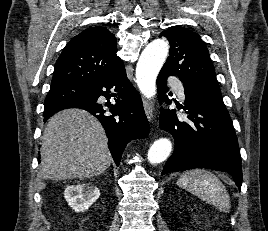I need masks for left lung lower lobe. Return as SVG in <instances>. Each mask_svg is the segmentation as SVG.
Wrapping results in <instances>:
<instances>
[{"mask_svg": "<svg viewBox=\"0 0 268 231\" xmlns=\"http://www.w3.org/2000/svg\"><path fill=\"white\" fill-rule=\"evenodd\" d=\"M169 74L160 71L157 77L158 97L164 95ZM188 121L177 118L175 110H162L160 128L169 131L175 140V150L164 165L162 175L193 168L225 171L233 176L241 189L242 168L236 133L232 120L204 98L184 89ZM169 104L171 101L166 100Z\"/></svg>", "mask_w": 268, "mask_h": 231, "instance_id": "obj_1", "label": "left lung lower lobe"}]
</instances>
